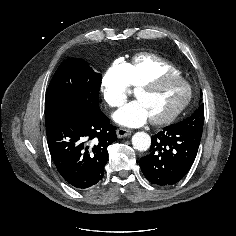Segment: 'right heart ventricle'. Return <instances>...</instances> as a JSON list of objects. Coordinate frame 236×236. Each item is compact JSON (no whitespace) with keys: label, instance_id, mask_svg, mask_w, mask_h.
<instances>
[{"label":"right heart ventricle","instance_id":"e07e8e85","mask_svg":"<svg viewBox=\"0 0 236 236\" xmlns=\"http://www.w3.org/2000/svg\"><path fill=\"white\" fill-rule=\"evenodd\" d=\"M161 74H180V71L164 58L148 53L139 54L128 63L129 86L137 88Z\"/></svg>","mask_w":236,"mask_h":236}]
</instances>
